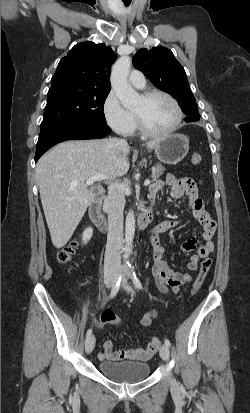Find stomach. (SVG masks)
Instances as JSON below:
<instances>
[{
    "label": "stomach",
    "mask_w": 250,
    "mask_h": 413,
    "mask_svg": "<svg viewBox=\"0 0 250 413\" xmlns=\"http://www.w3.org/2000/svg\"><path fill=\"white\" fill-rule=\"evenodd\" d=\"M189 139L183 134H170L157 140L154 154L165 164H177L187 155Z\"/></svg>",
    "instance_id": "stomach-1"
}]
</instances>
